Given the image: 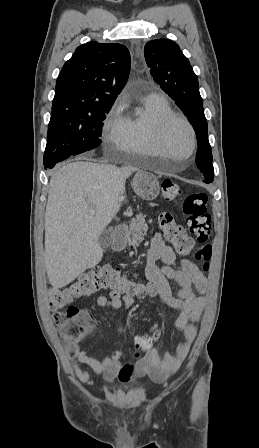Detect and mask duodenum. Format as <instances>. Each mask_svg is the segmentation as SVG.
<instances>
[{
  "label": "duodenum",
  "instance_id": "1",
  "mask_svg": "<svg viewBox=\"0 0 259 448\" xmlns=\"http://www.w3.org/2000/svg\"><path fill=\"white\" fill-rule=\"evenodd\" d=\"M126 238V229L122 226L117 227L113 233L112 248L120 250L124 247Z\"/></svg>",
  "mask_w": 259,
  "mask_h": 448
}]
</instances>
